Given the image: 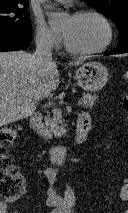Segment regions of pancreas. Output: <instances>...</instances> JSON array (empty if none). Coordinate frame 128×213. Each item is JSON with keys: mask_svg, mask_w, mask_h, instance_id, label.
I'll return each instance as SVG.
<instances>
[{"mask_svg": "<svg viewBox=\"0 0 128 213\" xmlns=\"http://www.w3.org/2000/svg\"><path fill=\"white\" fill-rule=\"evenodd\" d=\"M97 98H98L97 95L84 93L79 104L84 108L92 107ZM45 124H46V132L49 136L60 137L67 133V130L64 127L65 125L62 121L61 110L59 109H54L52 111V116H48L45 118Z\"/></svg>", "mask_w": 128, "mask_h": 213, "instance_id": "pancreas-1", "label": "pancreas"}]
</instances>
